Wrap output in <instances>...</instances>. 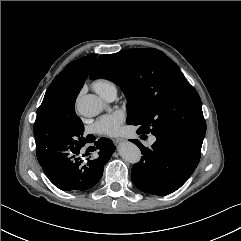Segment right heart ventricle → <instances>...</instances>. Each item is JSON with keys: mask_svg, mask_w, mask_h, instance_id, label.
I'll use <instances>...</instances> for the list:
<instances>
[{"mask_svg": "<svg viewBox=\"0 0 241 241\" xmlns=\"http://www.w3.org/2000/svg\"><path fill=\"white\" fill-rule=\"evenodd\" d=\"M92 86L102 97H104L109 91L116 89L114 83L105 78L96 79L93 81Z\"/></svg>", "mask_w": 241, "mask_h": 241, "instance_id": "right-heart-ventricle-1", "label": "right heart ventricle"}]
</instances>
